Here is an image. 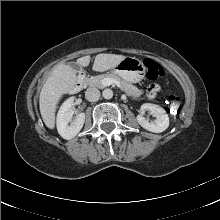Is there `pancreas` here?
Segmentation results:
<instances>
[{
    "instance_id": "1",
    "label": "pancreas",
    "mask_w": 220,
    "mask_h": 220,
    "mask_svg": "<svg viewBox=\"0 0 220 220\" xmlns=\"http://www.w3.org/2000/svg\"><path fill=\"white\" fill-rule=\"evenodd\" d=\"M105 78H112L118 81L121 86L122 90H124L129 96H132L134 98H138L142 95V91L139 90L136 86L132 85L131 83L126 82L125 80H122L117 74L115 73H109V74H101L97 76H91L89 78H86L85 82L90 87H97V88H103L104 85L102 84V80Z\"/></svg>"
}]
</instances>
